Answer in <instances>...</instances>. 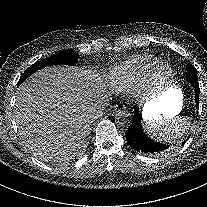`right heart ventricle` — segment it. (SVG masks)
Returning <instances> with one entry per match:
<instances>
[{
	"label": "right heart ventricle",
	"instance_id": "obj_1",
	"mask_svg": "<svg viewBox=\"0 0 207 207\" xmlns=\"http://www.w3.org/2000/svg\"><path fill=\"white\" fill-rule=\"evenodd\" d=\"M160 60L154 56H136L114 67L109 74V84L114 92L132 90L149 82L150 75Z\"/></svg>",
	"mask_w": 207,
	"mask_h": 207
}]
</instances>
